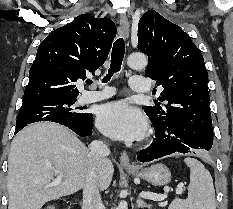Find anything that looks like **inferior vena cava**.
I'll return each mask as SVG.
<instances>
[{"label": "inferior vena cava", "instance_id": "1", "mask_svg": "<svg viewBox=\"0 0 233 209\" xmlns=\"http://www.w3.org/2000/svg\"><path fill=\"white\" fill-rule=\"evenodd\" d=\"M88 158L93 164L106 160L110 154L108 146L99 140L93 141L89 146ZM82 209H104L100 191L93 180V172L87 179L83 188V206Z\"/></svg>", "mask_w": 233, "mask_h": 209}]
</instances>
